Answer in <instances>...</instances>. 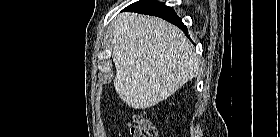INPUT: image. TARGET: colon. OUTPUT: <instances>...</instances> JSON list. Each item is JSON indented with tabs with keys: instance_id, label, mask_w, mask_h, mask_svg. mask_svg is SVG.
<instances>
[{
	"instance_id": "1",
	"label": "colon",
	"mask_w": 280,
	"mask_h": 137,
	"mask_svg": "<svg viewBox=\"0 0 280 137\" xmlns=\"http://www.w3.org/2000/svg\"><path fill=\"white\" fill-rule=\"evenodd\" d=\"M128 127L134 137H152L157 136V129L150 120L140 114H135Z\"/></svg>"
}]
</instances>
